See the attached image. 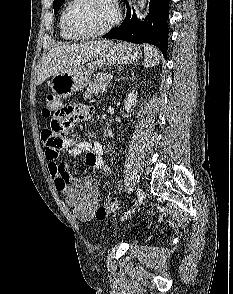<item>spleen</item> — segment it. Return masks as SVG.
Instances as JSON below:
<instances>
[{
  "label": "spleen",
  "instance_id": "spleen-1",
  "mask_svg": "<svg viewBox=\"0 0 233 294\" xmlns=\"http://www.w3.org/2000/svg\"><path fill=\"white\" fill-rule=\"evenodd\" d=\"M144 51H145L144 67L146 68L153 67L159 63L161 56L155 47L145 44Z\"/></svg>",
  "mask_w": 233,
  "mask_h": 294
}]
</instances>
